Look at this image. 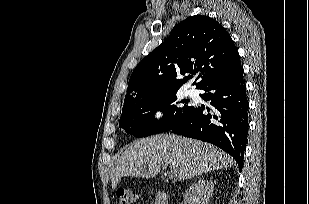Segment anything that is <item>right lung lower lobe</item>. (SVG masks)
Segmentation results:
<instances>
[{
	"mask_svg": "<svg viewBox=\"0 0 309 204\" xmlns=\"http://www.w3.org/2000/svg\"><path fill=\"white\" fill-rule=\"evenodd\" d=\"M240 65L231 74L216 79L200 94L211 101L213 110L192 106L185 117L172 129L173 133L209 142L229 153L243 167L248 135V99Z\"/></svg>",
	"mask_w": 309,
	"mask_h": 204,
	"instance_id": "right-lung-lower-lobe-1",
	"label": "right lung lower lobe"
}]
</instances>
